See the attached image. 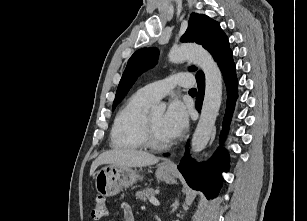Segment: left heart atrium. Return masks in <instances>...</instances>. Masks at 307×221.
Wrapping results in <instances>:
<instances>
[{
	"mask_svg": "<svg viewBox=\"0 0 307 221\" xmlns=\"http://www.w3.org/2000/svg\"><path fill=\"white\" fill-rule=\"evenodd\" d=\"M164 129L169 139L181 135L188 125V111L179 101L173 100L164 114Z\"/></svg>",
	"mask_w": 307,
	"mask_h": 221,
	"instance_id": "1",
	"label": "left heart atrium"
}]
</instances>
